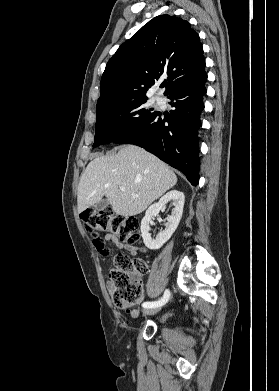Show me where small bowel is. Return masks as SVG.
I'll return each mask as SVG.
<instances>
[{
  "instance_id": "1",
  "label": "small bowel",
  "mask_w": 279,
  "mask_h": 391,
  "mask_svg": "<svg viewBox=\"0 0 279 391\" xmlns=\"http://www.w3.org/2000/svg\"><path fill=\"white\" fill-rule=\"evenodd\" d=\"M105 240H106V241H113L114 244H115L118 248L127 250L131 255H136V254H137L138 248H137L136 246L124 245V244H122V243H120V242L114 240V238H113L111 235H107V236L105 237ZM138 314H139V311H138L137 309L131 311V315H132L133 317H136ZM170 315H171V314L168 313V314L165 315V317H169Z\"/></svg>"
}]
</instances>
